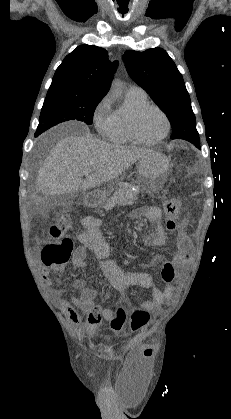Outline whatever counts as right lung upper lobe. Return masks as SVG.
<instances>
[{
    "instance_id": "obj_1",
    "label": "right lung upper lobe",
    "mask_w": 231,
    "mask_h": 419,
    "mask_svg": "<svg viewBox=\"0 0 231 419\" xmlns=\"http://www.w3.org/2000/svg\"><path fill=\"white\" fill-rule=\"evenodd\" d=\"M118 62H110L105 49L80 45L57 68L49 90L66 89L78 96L103 97Z\"/></svg>"
}]
</instances>
